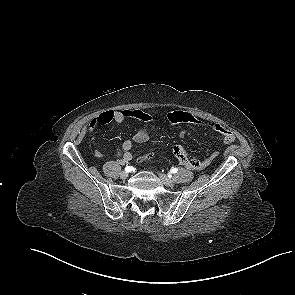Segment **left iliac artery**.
<instances>
[{"label":"left iliac artery","mask_w":295,"mask_h":295,"mask_svg":"<svg viewBox=\"0 0 295 295\" xmlns=\"http://www.w3.org/2000/svg\"><path fill=\"white\" fill-rule=\"evenodd\" d=\"M170 172L171 173H177L178 172V169L177 168H172Z\"/></svg>","instance_id":"obj_1"}]
</instances>
